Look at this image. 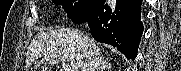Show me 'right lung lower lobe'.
<instances>
[{
	"mask_svg": "<svg viewBox=\"0 0 181 71\" xmlns=\"http://www.w3.org/2000/svg\"><path fill=\"white\" fill-rule=\"evenodd\" d=\"M105 1L97 0L85 15L72 18V21L88 22L95 40L117 47L128 59L134 60L143 33L140 21L142 0H116L113 8Z\"/></svg>",
	"mask_w": 181,
	"mask_h": 71,
	"instance_id": "obj_1",
	"label": "right lung lower lobe"
}]
</instances>
